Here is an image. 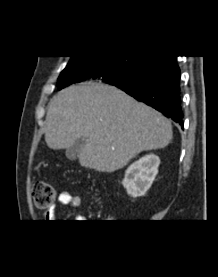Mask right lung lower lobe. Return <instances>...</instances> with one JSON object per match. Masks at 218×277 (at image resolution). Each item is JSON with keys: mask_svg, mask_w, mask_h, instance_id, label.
Here are the masks:
<instances>
[{"mask_svg": "<svg viewBox=\"0 0 218 277\" xmlns=\"http://www.w3.org/2000/svg\"><path fill=\"white\" fill-rule=\"evenodd\" d=\"M85 79H101L92 72ZM130 96L173 119L183 128L180 103V69L176 56H154L152 60L126 83L114 84Z\"/></svg>", "mask_w": 218, "mask_h": 277, "instance_id": "obj_1", "label": "right lung lower lobe"}]
</instances>
